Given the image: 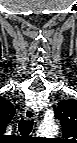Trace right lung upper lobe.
<instances>
[{
    "label": "right lung upper lobe",
    "instance_id": "obj_1",
    "mask_svg": "<svg viewBox=\"0 0 77 143\" xmlns=\"http://www.w3.org/2000/svg\"><path fill=\"white\" fill-rule=\"evenodd\" d=\"M15 109L13 104L4 98H0V127L5 130L7 124L12 120Z\"/></svg>",
    "mask_w": 77,
    "mask_h": 143
}]
</instances>
